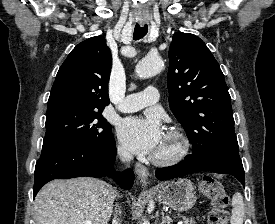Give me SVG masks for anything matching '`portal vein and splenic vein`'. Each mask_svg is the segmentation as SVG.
I'll return each mask as SVG.
<instances>
[{"label": "portal vein and splenic vein", "instance_id": "portal-vein-and-splenic-vein-1", "mask_svg": "<svg viewBox=\"0 0 275 224\" xmlns=\"http://www.w3.org/2000/svg\"><path fill=\"white\" fill-rule=\"evenodd\" d=\"M87 224H90V223H87ZM178 224H183V222H178Z\"/></svg>", "mask_w": 275, "mask_h": 224}]
</instances>
